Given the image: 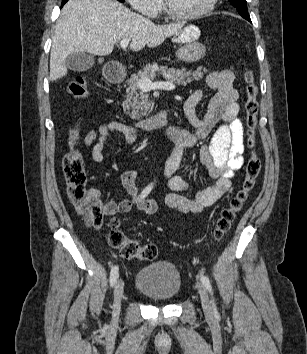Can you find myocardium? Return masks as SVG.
I'll use <instances>...</instances> for the list:
<instances>
[{"label": "myocardium", "instance_id": "obj_1", "mask_svg": "<svg viewBox=\"0 0 307 354\" xmlns=\"http://www.w3.org/2000/svg\"><path fill=\"white\" fill-rule=\"evenodd\" d=\"M217 1L218 0H208L207 4L201 10L193 13H187V14L176 13L169 7L166 0H163L162 4H163V9L165 14L170 19L177 20V21H187V20L199 19L209 14L215 8Z\"/></svg>", "mask_w": 307, "mask_h": 354}]
</instances>
